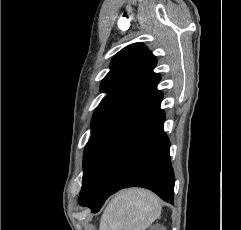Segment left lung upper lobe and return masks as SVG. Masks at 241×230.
I'll return each mask as SVG.
<instances>
[{
  "label": "left lung upper lobe",
  "mask_w": 241,
  "mask_h": 230,
  "mask_svg": "<svg viewBox=\"0 0 241 230\" xmlns=\"http://www.w3.org/2000/svg\"><path fill=\"white\" fill-rule=\"evenodd\" d=\"M156 62L142 43L126 46L111 60V69L101 82V91L109 94L93 114L92 135L83 156V179L97 151L161 93L157 90L160 75L153 72Z\"/></svg>",
  "instance_id": "5c2ea615"
}]
</instances>
